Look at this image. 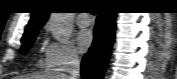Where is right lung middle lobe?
Instances as JSON below:
<instances>
[{
    "label": "right lung middle lobe",
    "instance_id": "1",
    "mask_svg": "<svg viewBox=\"0 0 177 79\" xmlns=\"http://www.w3.org/2000/svg\"><path fill=\"white\" fill-rule=\"evenodd\" d=\"M36 36H37V31L30 33L28 36H26L24 39L21 40L23 42V45L20 49L21 53L24 54L30 49Z\"/></svg>",
    "mask_w": 177,
    "mask_h": 79
}]
</instances>
